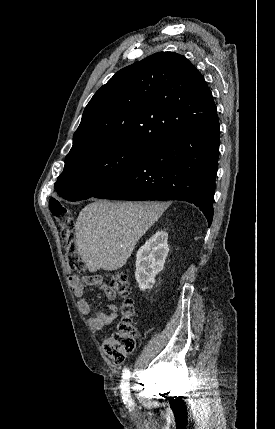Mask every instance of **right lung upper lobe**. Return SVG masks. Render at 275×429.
I'll return each instance as SVG.
<instances>
[{
  "mask_svg": "<svg viewBox=\"0 0 275 429\" xmlns=\"http://www.w3.org/2000/svg\"><path fill=\"white\" fill-rule=\"evenodd\" d=\"M218 119L202 74L180 54L158 52L118 71L92 97L65 163L96 150L163 138Z\"/></svg>",
  "mask_w": 275,
  "mask_h": 429,
  "instance_id": "1",
  "label": "right lung upper lobe"
}]
</instances>
